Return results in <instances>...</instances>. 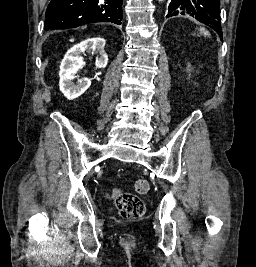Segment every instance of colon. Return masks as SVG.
Returning a JSON list of instances; mask_svg holds the SVG:
<instances>
[{"label": "colon", "instance_id": "colon-1", "mask_svg": "<svg viewBox=\"0 0 256 267\" xmlns=\"http://www.w3.org/2000/svg\"><path fill=\"white\" fill-rule=\"evenodd\" d=\"M135 189L138 192H148L150 189V185L148 181L144 179H139L135 183ZM116 191H119V189H116ZM114 195H116V193ZM134 196L136 195H123V197H117L120 200H115L118 212L120 216L124 219H137L141 217L145 212L146 206L144 202L139 197Z\"/></svg>", "mask_w": 256, "mask_h": 267}]
</instances>
